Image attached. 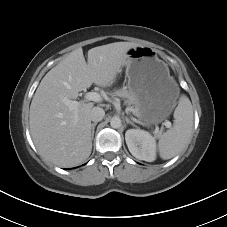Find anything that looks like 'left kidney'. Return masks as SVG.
<instances>
[{"instance_id":"5707ae66","label":"left kidney","mask_w":227,"mask_h":227,"mask_svg":"<svg viewBox=\"0 0 227 227\" xmlns=\"http://www.w3.org/2000/svg\"><path fill=\"white\" fill-rule=\"evenodd\" d=\"M125 140L130 153L139 160L153 162L156 159V140L147 131L129 129Z\"/></svg>"}]
</instances>
